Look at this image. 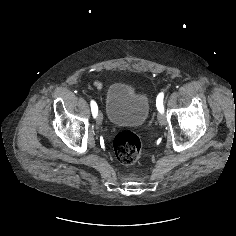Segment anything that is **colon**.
<instances>
[{
	"mask_svg": "<svg viewBox=\"0 0 236 236\" xmlns=\"http://www.w3.org/2000/svg\"><path fill=\"white\" fill-rule=\"evenodd\" d=\"M113 149L116 158L123 164L135 163L142 150L140 138L131 131L119 132L113 141Z\"/></svg>",
	"mask_w": 236,
	"mask_h": 236,
	"instance_id": "5ec220e1",
	"label": "colon"
}]
</instances>
